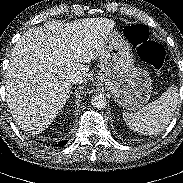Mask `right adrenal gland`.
<instances>
[{"label":"right adrenal gland","instance_id":"2a0ac1e0","mask_svg":"<svg viewBox=\"0 0 183 183\" xmlns=\"http://www.w3.org/2000/svg\"><path fill=\"white\" fill-rule=\"evenodd\" d=\"M70 98V95L68 96V99ZM68 101H70V100H68Z\"/></svg>","mask_w":183,"mask_h":183}]
</instances>
